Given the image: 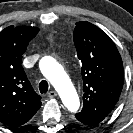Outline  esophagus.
I'll use <instances>...</instances> for the list:
<instances>
[{"label": "esophagus", "mask_w": 133, "mask_h": 133, "mask_svg": "<svg viewBox=\"0 0 133 133\" xmlns=\"http://www.w3.org/2000/svg\"><path fill=\"white\" fill-rule=\"evenodd\" d=\"M57 96V93L55 92V91H50L49 93H48V97L49 98H54V97H56Z\"/></svg>", "instance_id": "obj_1"}]
</instances>
